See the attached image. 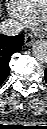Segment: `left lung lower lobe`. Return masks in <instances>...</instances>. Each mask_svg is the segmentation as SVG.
<instances>
[{"label":"left lung lower lobe","mask_w":47,"mask_h":129,"mask_svg":"<svg viewBox=\"0 0 47 129\" xmlns=\"http://www.w3.org/2000/svg\"><path fill=\"white\" fill-rule=\"evenodd\" d=\"M45 78H46V82H47V69L45 70Z\"/></svg>","instance_id":"0a47b994"}]
</instances>
